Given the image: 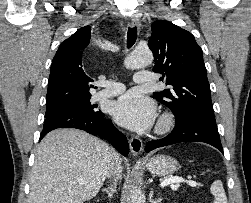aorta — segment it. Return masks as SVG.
Segmentation results:
<instances>
[{"mask_svg":"<svg viewBox=\"0 0 251 203\" xmlns=\"http://www.w3.org/2000/svg\"><path fill=\"white\" fill-rule=\"evenodd\" d=\"M153 61V54L149 49H136L124 61L129 69L143 68ZM130 203H145V196L137 186L132 188Z\"/></svg>","mask_w":251,"mask_h":203,"instance_id":"aorta-1","label":"aorta"}]
</instances>
